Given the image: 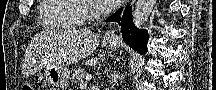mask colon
I'll use <instances>...</instances> for the list:
<instances>
[{"label": "colon", "mask_w": 216, "mask_h": 90, "mask_svg": "<svg viewBox=\"0 0 216 90\" xmlns=\"http://www.w3.org/2000/svg\"><path fill=\"white\" fill-rule=\"evenodd\" d=\"M22 90H34V88L31 85H24Z\"/></svg>", "instance_id": "5ec220e1"}]
</instances>
